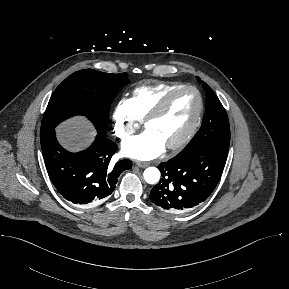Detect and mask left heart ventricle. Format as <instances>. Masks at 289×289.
Returning a JSON list of instances; mask_svg holds the SVG:
<instances>
[{
    "instance_id": "b2bd125f",
    "label": "left heart ventricle",
    "mask_w": 289,
    "mask_h": 289,
    "mask_svg": "<svg viewBox=\"0 0 289 289\" xmlns=\"http://www.w3.org/2000/svg\"><path fill=\"white\" fill-rule=\"evenodd\" d=\"M198 109V97L193 91L179 93L165 113L150 122L146 129L153 132L166 146L179 141L189 130Z\"/></svg>"
}]
</instances>
